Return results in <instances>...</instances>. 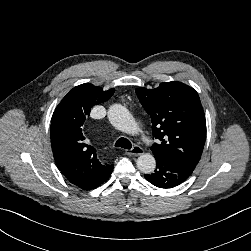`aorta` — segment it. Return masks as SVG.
Masks as SVG:
<instances>
[{
    "label": "aorta",
    "instance_id": "1",
    "mask_svg": "<svg viewBox=\"0 0 251 251\" xmlns=\"http://www.w3.org/2000/svg\"><path fill=\"white\" fill-rule=\"evenodd\" d=\"M110 123L118 130L134 134L138 131V125L129 110L121 104H113L108 110ZM137 168L145 174L152 173L156 168V161L152 154L145 153L138 157Z\"/></svg>",
    "mask_w": 251,
    "mask_h": 251
}]
</instances>
